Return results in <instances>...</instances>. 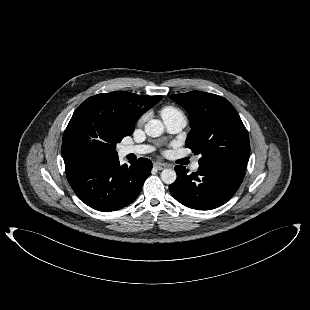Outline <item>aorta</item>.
Listing matches in <instances>:
<instances>
[{"instance_id": "obj_1", "label": "aorta", "mask_w": 310, "mask_h": 310, "mask_svg": "<svg viewBox=\"0 0 310 310\" xmlns=\"http://www.w3.org/2000/svg\"><path fill=\"white\" fill-rule=\"evenodd\" d=\"M144 131L149 137H153V138L159 137L164 132V125L158 119H151L145 124ZM176 178H177V175L173 169H164L161 172V180L165 184L174 183Z\"/></svg>"}]
</instances>
